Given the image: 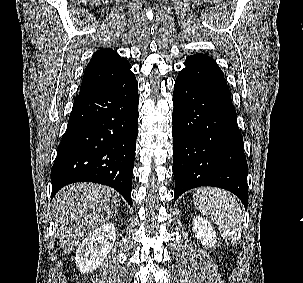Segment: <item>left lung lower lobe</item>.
<instances>
[{
	"label": "left lung lower lobe",
	"instance_id": "0a47b994",
	"mask_svg": "<svg viewBox=\"0 0 303 283\" xmlns=\"http://www.w3.org/2000/svg\"><path fill=\"white\" fill-rule=\"evenodd\" d=\"M173 94L174 200L200 186L231 191L247 208L248 166L231 93L216 62L194 54Z\"/></svg>",
	"mask_w": 303,
	"mask_h": 283
}]
</instances>
